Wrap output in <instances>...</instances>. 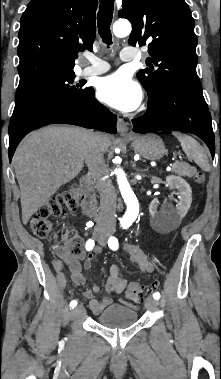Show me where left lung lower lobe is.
<instances>
[{
  "instance_id": "0a47b994",
  "label": "left lung lower lobe",
  "mask_w": 221,
  "mask_h": 379,
  "mask_svg": "<svg viewBox=\"0 0 221 379\" xmlns=\"http://www.w3.org/2000/svg\"><path fill=\"white\" fill-rule=\"evenodd\" d=\"M148 97L146 113L132 120L134 132L177 130L193 133L207 144L214 157L211 115L202 93L160 86Z\"/></svg>"
}]
</instances>
